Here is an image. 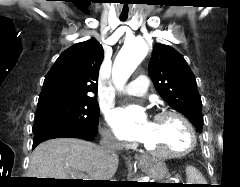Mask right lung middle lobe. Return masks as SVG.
<instances>
[{
	"instance_id": "right-lung-middle-lobe-1",
	"label": "right lung middle lobe",
	"mask_w": 240,
	"mask_h": 187,
	"mask_svg": "<svg viewBox=\"0 0 240 187\" xmlns=\"http://www.w3.org/2000/svg\"><path fill=\"white\" fill-rule=\"evenodd\" d=\"M99 106L94 99L58 100L38 105L33 132L51 126L76 131H91L98 127Z\"/></svg>"
}]
</instances>
